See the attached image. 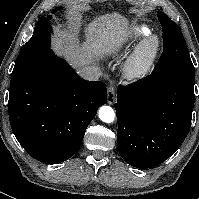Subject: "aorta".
<instances>
[{"label":"aorta","mask_w":199,"mask_h":199,"mask_svg":"<svg viewBox=\"0 0 199 199\" xmlns=\"http://www.w3.org/2000/svg\"><path fill=\"white\" fill-rule=\"evenodd\" d=\"M98 115L100 120L105 123H112L115 119L114 110L110 106H102L98 111Z\"/></svg>","instance_id":"obj_1"}]
</instances>
